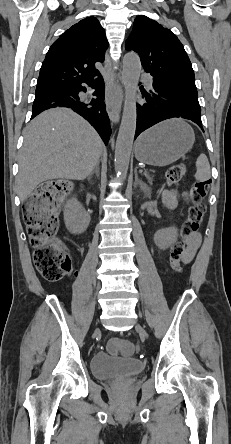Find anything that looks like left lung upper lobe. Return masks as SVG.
Here are the masks:
<instances>
[{
  "mask_svg": "<svg viewBox=\"0 0 231 444\" xmlns=\"http://www.w3.org/2000/svg\"><path fill=\"white\" fill-rule=\"evenodd\" d=\"M126 49L139 54L145 71L160 85L198 95L189 57L169 29L146 16H138L126 41Z\"/></svg>",
  "mask_w": 231,
  "mask_h": 444,
  "instance_id": "5c2ea615",
  "label": "left lung upper lobe"
}]
</instances>
